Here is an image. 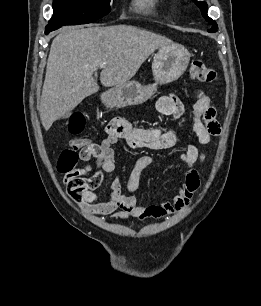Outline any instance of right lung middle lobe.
Instances as JSON below:
<instances>
[{
    "mask_svg": "<svg viewBox=\"0 0 261 306\" xmlns=\"http://www.w3.org/2000/svg\"><path fill=\"white\" fill-rule=\"evenodd\" d=\"M111 11L110 0H54L48 25H79L94 22Z\"/></svg>",
    "mask_w": 261,
    "mask_h": 306,
    "instance_id": "dd1d6c3e",
    "label": "right lung middle lobe"
}]
</instances>
